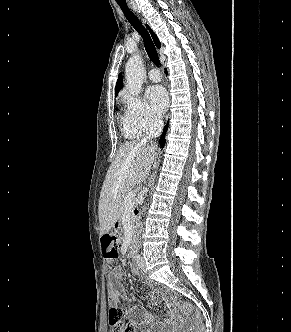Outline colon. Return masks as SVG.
Segmentation results:
<instances>
[{"label":"colon","instance_id":"colon-1","mask_svg":"<svg viewBox=\"0 0 291 332\" xmlns=\"http://www.w3.org/2000/svg\"><path fill=\"white\" fill-rule=\"evenodd\" d=\"M101 244L105 258L112 261L119 257L120 242L114 233H105L101 238ZM167 304L171 310L180 311L189 316L191 326L189 332H200L201 315L193 305L184 301H176L173 298H170ZM122 316L123 312L119 307L113 306L110 308L109 322L113 326V332H132L130 325L122 323Z\"/></svg>","mask_w":291,"mask_h":332}]
</instances>
